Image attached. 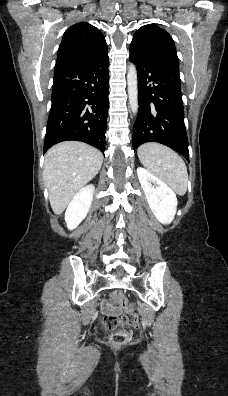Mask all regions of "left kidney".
<instances>
[{
	"mask_svg": "<svg viewBox=\"0 0 228 396\" xmlns=\"http://www.w3.org/2000/svg\"><path fill=\"white\" fill-rule=\"evenodd\" d=\"M137 175L149 207L157 220L170 224L176 214L177 198L174 191L148 170L138 167Z\"/></svg>",
	"mask_w": 228,
	"mask_h": 396,
	"instance_id": "obj_1",
	"label": "left kidney"
}]
</instances>
